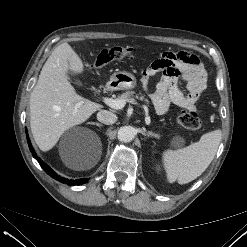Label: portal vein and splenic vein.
<instances>
[{"label": "portal vein and splenic vein", "mask_w": 247, "mask_h": 247, "mask_svg": "<svg viewBox=\"0 0 247 247\" xmlns=\"http://www.w3.org/2000/svg\"><path fill=\"white\" fill-rule=\"evenodd\" d=\"M103 102L108 105L109 107L113 108V109H122L125 104L126 101L122 100V99H112V98H108V97H103ZM144 111H145V122L147 125H149L151 123L149 114H148V109L146 107H143Z\"/></svg>", "instance_id": "obj_1"}]
</instances>
